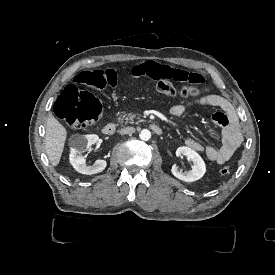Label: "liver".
Returning <instances> with one entry per match:
<instances>
[{
	"mask_svg": "<svg viewBox=\"0 0 275 275\" xmlns=\"http://www.w3.org/2000/svg\"><path fill=\"white\" fill-rule=\"evenodd\" d=\"M68 137L66 127L53 115L48 113L46 133H45V149L50 163L53 167H57L65 147Z\"/></svg>",
	"mask_w": 275,
	"mask_h": 275,
	"instance_id": "6515ba94",
	"label": "liver"
}]
</instances>
